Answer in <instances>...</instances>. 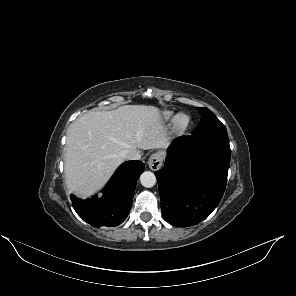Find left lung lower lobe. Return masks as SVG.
Returning a JSON list of instances; mask_svg holds the SVG:
<instances>
[{
	"instance_id": "1",
	"label": "left lung lower lobe",
	"mask_w": 296,
	"mask_h": 296,
	"mask_svg": "<svg viewBox=\"0 0 296 296\" xmlns=\"http://www.w3.org/2000/svg\"><path fill=\"white\" fill-rule=\"evenodd\" d=\"M227 133L183 136L172 142L164 167L155 172L164 218L188 227L207 218L219 204L230 164Z\"/></svg>"
}]
</instances>
